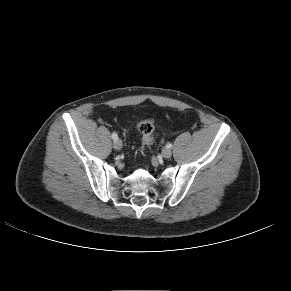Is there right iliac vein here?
Here are the masks:
<instances>
[{
  "label": "right iliac vein",
  "instance_id": "obj_1",
  "mask_svg": "<svg viewBox=\"0 0 291 291\" xmlns=\"http://www.w3.org/2000/svg\"><path fill=\"white\" fill-rule=\"evenodd\" d=\"M113 146L115 149L120 150L122 148V141L120 139L114 140Z\"/></svg>",
  "mask_w": 291,
  "mask_h": 291
}]
</instances>
